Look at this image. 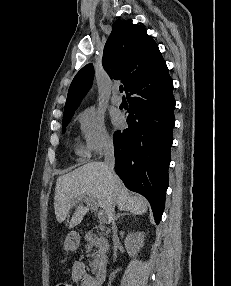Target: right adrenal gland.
Here are the masks:
<instances>
[{
    "label": "right adrenal gland",
    "instance_id": "right-adrenal-gland-1",
    "mask_svg": "<svg viewBox=\"0 0 231 286\" xmlns=\"http://www.w3.org/2000/svg\"><path fill=\"white\" fill-rule=\"evenodd\" d=\"M125 215H130V213H126V212L118 213L115 217V221H117L121 216H125Z\"/></svg>",
    "mask_w": 231,
    "mask_h": 286
}]
</instances>
